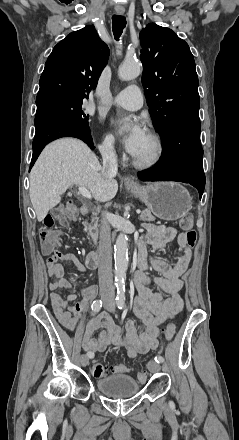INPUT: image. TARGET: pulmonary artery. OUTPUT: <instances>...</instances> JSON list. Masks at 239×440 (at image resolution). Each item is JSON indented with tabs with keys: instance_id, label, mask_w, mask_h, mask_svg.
Instances as JSON below:
<instances>
[{
	"instance_id": "1",
	"label": "pulmonary artery",
	"mask_w": 239,
	"mask_h": 440,
	"mask_svg": "<svg viewBox=\"0 0 239 440\" xmlns=\"http://www.w3.org/2000/svg\"><path fill=\"white\" fill-rule=\"evenodd\" d=\"M107 105H117L129 110H137L142 107L143 99L138 87L129 86L118 95L111 97L108 101H103Z\"/></svg>"
}]
</instances>
